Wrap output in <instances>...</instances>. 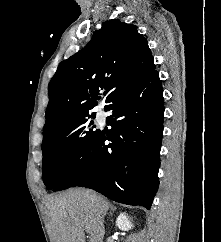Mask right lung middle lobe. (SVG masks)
Wrapping results in <instances>:
<instances>
[{
    "label": "right lung middle lobe",
    "mask_w": 221,
    "mask_h": 242,
    "mask_svg": "<svg viewBox=\"0 0 221 242\" xmlns=\"http://www.w3.org/2000/svg\"><path fill=\"white\" fill-rule=\"evenodd\" d=\"M90 118L80 117L43 137L42 174L47 189L59 183L100 132Z\"/></svg>",
    "instance_id": "obj_1"
}]
</instances>
